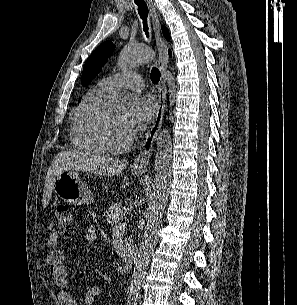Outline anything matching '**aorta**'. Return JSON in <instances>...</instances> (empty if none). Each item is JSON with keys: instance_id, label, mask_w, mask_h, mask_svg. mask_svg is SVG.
Wrapping results in <instances>:
<instances>
[{"instance_id": "1", "label": "aorta", "mask_w": 297, "mask_h": 305, "mask_svg": "<svg viewBox=\"0 0 297 305\" xmlns=\"http://www.w3.org/2000/svg\"><path fill=\"white\" fill-rule=\"evenodd\" d=\"M154 58V52L147 46H126L119 55L118 65L122 69L134 68L148 63ZM111 107L121 111L125 108L122 98L113 100ZM172 140L170 130L163 128L158 135L157 152L155 156V178L150 202L146 215V226L142 242L139 247L134 270L128 287V296L137 297L141 282L153 253L160 221L168 200L171 185Z\"/></svg>"}]
</instances>
